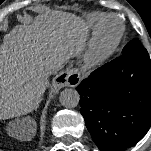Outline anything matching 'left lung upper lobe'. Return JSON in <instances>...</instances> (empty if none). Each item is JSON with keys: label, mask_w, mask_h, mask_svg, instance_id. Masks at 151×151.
Masks as SVG:
<instances>
[{"label": "left lung upper lobe", "mask_w": 151, "mask_h": 151, "mask_svg": "<svg viewBox=\"0 0 151 151\" xmlns=\"http://www.w3.org/2000/svg\"><path fill=\"white\" fill-rule=\"evenodd\" d=\"M141 48H143L141 45V42L138 39H133L132 41L127 43V45L123 48L122 54H127L129 52H132Z\"/></svg>", "instance_id": "left-lung-upper-lobe-1"}]
</instances>
